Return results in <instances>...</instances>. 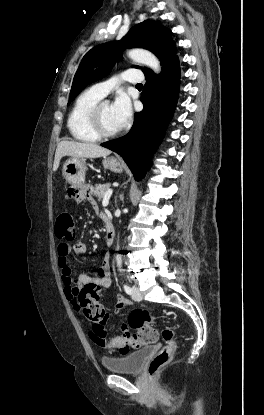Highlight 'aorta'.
<instances>
[{"instance_id": "aorta-1", "label": "aorta", "mask_w": 264, "mask_h": 415, "mask_svg": "<svg viewBox=\"0 0 264 415\" xmlns=\"http://www.w3.org/2000/svg\"><path fill=\"white\" fill-rule=\"evenodd\" d=\"M128 56L133 61L150 67L155 73H159L161 71L159 60L150 51H147L144 49H132L128 51ZM116 262H117V266L120 267L122 265V258L120 255L116 256Z\"/></svg>"}]
</instances>
